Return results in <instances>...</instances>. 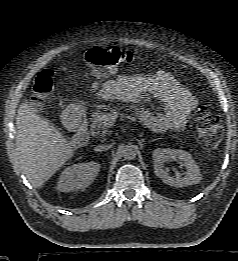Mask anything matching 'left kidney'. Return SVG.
I'll return each mask as SVG.
<instances>
[{"mask_svg":"<svg viewBox=\"0 0 238 261\" xmlns=\"http://www.w3.org/2000/svg\"><path fill=\"white\" fill-rule=\"evenodd\" d=\"M154 173L157 177L170 186L185 187L200 182L201 173L190 153L179 149H162L157 148L153 151ZM180 160L186 168L184 177H171L164 170V163L170 160Z\"/></svg>","mask_w":238,"mask_h":261,"instance_id":"obj_1","label":"left kidney"}]
</instances>
